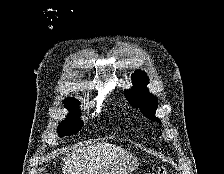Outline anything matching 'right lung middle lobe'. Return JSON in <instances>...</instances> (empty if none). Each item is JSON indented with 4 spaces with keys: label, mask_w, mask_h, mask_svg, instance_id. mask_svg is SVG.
Masks as SVG:
<instances>
[{
    "label": "right lung middle lobe",
    "mask_w": 224,
    "mask_h": 174,
    "mask_svg": "<svg viewBox=\"0 0 224 174\" xmlns=\"http://www.w3.org/2000/svg\"><path fill=\"white\" fill-rule=\"evenodd\" d=\"M78 106L79 104L66 106L70 113L67 118L60 123L57 130L61 137L75 134L82 128L83 123L80 120L81 111Z\"/></svg>",
    "instance_id": "1"
}]
</instances>
